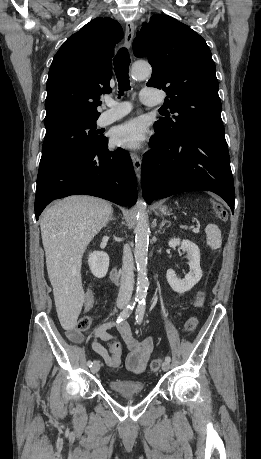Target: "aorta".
I'll list each match as a JSON object with an SVG mask.
<instances>
[{
	"mask_svg": "<svg viewBox=\"0 0 261 459\" xmlns=\"http://www.w3.org/2000/svg\"><path fill=\"white\" fill-rule=\"evenodd\" d=\"M152 69L148 63H134L131 69V77L133 80L141 81L151 76ZM137 224L135 228V248L134 257L137 264L138 278L136 298L144 300L147 295L149 286L147 278V262H148V244L150 228L148 223V215L145 211V202L141 199L137 201Z\"/></svg>",
	"mask_w": 261,
	"mask_h": 459,
	"instance_id": "762f6f07",
	"label": "aorta"
}]
</instances>
